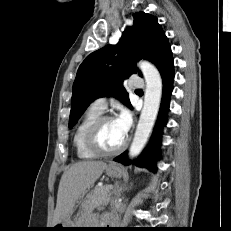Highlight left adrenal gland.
<instances>
[{"instance_id":"obj_1","label":"left adrenal gland","mask_w":231,"mask_h":231,"mask_svg":"<svg viewBox=\"0 0 231 231\" xmlns=\"http://www.w3.org/2000/svg\"><path fill=\"white\" fill-rule=\"evenodd\" d=\"M127 182V180H126ZM133 183H131L129 186H126V184H123V185H119V184H115V189H114V193L117 195V196H120V194L126 190H129L131 189Z\"/></svg>"}]
</instances>
